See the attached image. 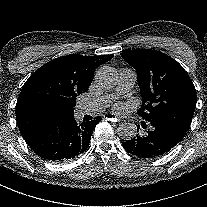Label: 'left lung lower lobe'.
Returning <instances> with one entry per match:
<instances>
[{"label":"left lung lower lobe","mask_w":207,"mask_h":207,"mask_svg":"<svg viewBox=\"0 0 207 207\" xmlns=\"http://www.w3.org/2000/svg\"><path fill=\"white\" fill-rule=\"evenodd\" d=\"M142 127H147L146 122H141ZM138 130L140 126H137ZM148 134L140 136L137 134L130 141L122 142L123 148L138 157L154 158L170 151L182 138L170 128L158 124H149Z\"/></svg>","instance_id":"1"}]
</instances>
